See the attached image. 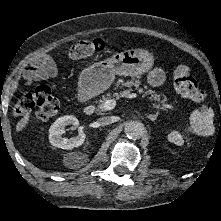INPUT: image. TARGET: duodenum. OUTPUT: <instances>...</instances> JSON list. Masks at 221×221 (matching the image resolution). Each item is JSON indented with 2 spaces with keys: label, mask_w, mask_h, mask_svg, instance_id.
Wrapping results in <instances>:
<instances>
[{
  "label": "duodenum",
  "mask_w": 221,
  "mask_h": 221,
  "mask_svg": "<svg viewBox=\"0 0 221 221\" xmlns=\"http://www.w3.org/2000/svg\"><path fill=\"white\" fill-rule=\"evenodd\" d=\"M94 110H95V107L93 105H87L85 108H84V113L86 115H92L94 113Z\"/></svg>",
  "instance_id": "duodenum-1"
}]
</instances>
